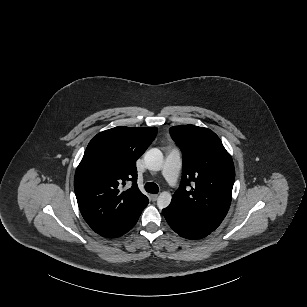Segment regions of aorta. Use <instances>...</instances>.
<instances>
[{
	"label": "aorta",
	"instance_id": "aorta-1",
	"mask_svg": "<svg viewBox=\"0 0 307 307\" xmlns=\"http://www.w3.org/2000/svg\"><path fill=\"white\" fill-rule=\"evenodd\" d=\"M144 164L148 170L160 171L163 168V154L158 148H152L144 155ZM172 196L169 192H162L157 197V206L159 209L166 208L171 203Z\"/></svg>",
	"mask_w": 307,
	"mask_h": 307
}]
</instances>
